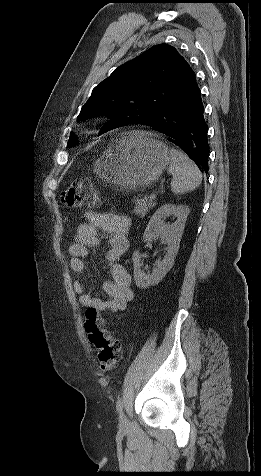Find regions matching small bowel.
I'll return each mask as SVG.
<instances>
[{"instance_id":"c3829d8e","label":"small bowel","mask_w":261,"mask_h":476,"mask_svg":"<svg viewBox=\"0 0 261 476\" xmlns=\"http://www.w3.org/2000/svg\"><path fill=\"white\" fill-rule=\"evenodd\" d=\"M87 223L77 227L74 242L69 247L70 267L79 276L85 272L89 248L99 245L101 237L107 236L108 250L105 260L111 274V280L103 284L107 299L94 297L87 292L83 279L74 282V291L79 295L80 303L98 312L109 310L120 312L126 309L133 299L131 276L119 261L128 248L130 221L127 217L101 212H88Z\"/></svg>"}]
</instances>
